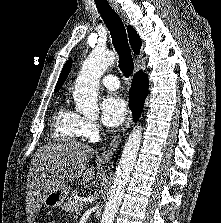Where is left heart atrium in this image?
<instances>
[{
  "label": "left heart atrium",
  "instance_id": "left-heart-atrium-1",
  "mask_svg": "<svg viewBox=\"0 0 221 223\" xmlns=\"http://www.w3.org/2000/svg\"><path fill=\"white\" fill-rule=\"evenodd\" d=\"M101 121L111 128L119 126L127 115V107L123 99L118 96L106 97L101 105Z\"/></svg>",
  "mask_w": 221,
  "mask_h": 223
}]
</instances>
